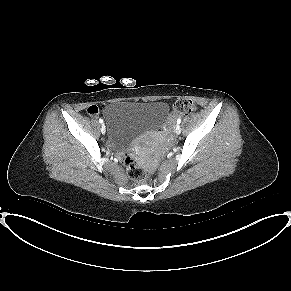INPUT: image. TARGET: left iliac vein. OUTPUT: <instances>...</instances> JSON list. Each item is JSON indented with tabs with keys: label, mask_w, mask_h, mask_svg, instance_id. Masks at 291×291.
Segmentation results:
<instances>
[{
	"label": "left iliac vein",
	"mask_w": 291,
	"mask_h": 291,
	"mask_svg": "<svg viewBox=\"0 0 291 291\" xmlns=\"http://www.w3.org/2000/svg\"><path fill=\"white\" fill-rule=\"evenodd\" d=\"M175 133L176 134H180L181 133V128H180L179 125L176 126Z\"/></svg>",
	"instance_id": "4c4485c4"
}]
</instances>
